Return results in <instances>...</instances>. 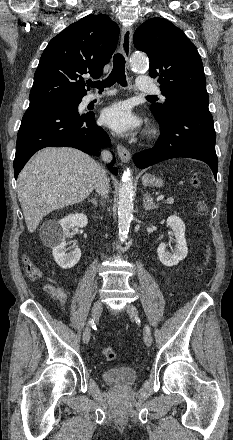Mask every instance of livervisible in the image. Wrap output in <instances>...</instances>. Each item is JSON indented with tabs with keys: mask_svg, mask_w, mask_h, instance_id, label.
<instances>
[{
	"mask_svg": "<svg viewBox=\"0 0 233 440\" xmlns=\"http://www.w3.org/2000/svg\"><path fill=\"white\" fill-rule=\"evenodd\" d=\"M100 165L80 150L47 147L22 169L18 198L25 222L33 233L50 212L77 204L94 190Z\"/></svg>",
	"mask_w": 233,
	"mask_h": 440,
	"instance_id": "6515ba94",
	"label": "liver"
}]
</instances>
